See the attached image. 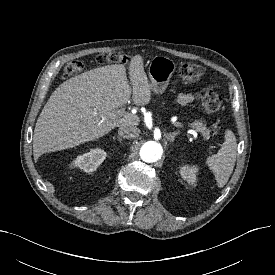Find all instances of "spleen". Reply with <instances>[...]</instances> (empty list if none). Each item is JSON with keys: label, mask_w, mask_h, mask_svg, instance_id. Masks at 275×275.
<instances>
[{"label": "spleen", "mask_w": 275, "mask_h": 275, "mask_svg": "<svg viewBox=\"0 0 275 275\" xmlns=\"http://www.w3.org/2000/svg\"><path fill=\"white\" fill-rule=\"evenodd\" d=\"M237 155V142L234 133L226 130L221 149L207 158L206 164L215 175L219 187H223L233 172Z\"/></svg>", "instance_id": "spleen-1"}]
</instances>
